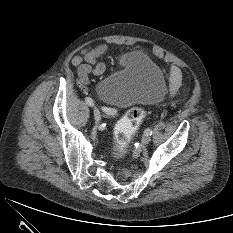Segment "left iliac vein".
<instances>
[{
    "label": "left iliac vein",
    "mask_w": 233,
    "mask_h": 233,
    "mask_svg": "<svg viewBox=\"0 0 233 233\" xmlns=\"http://www.w3.org/2000/svg\"><path fill=\"white\" fill-rule=\"evenodd\" d=\"M150 141H151V137L148 134H144L143 137H142V139H141L142 144L146 145Z\"/></svg>",
    "instance_id": "1"
}]
</instances>
